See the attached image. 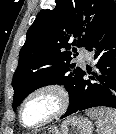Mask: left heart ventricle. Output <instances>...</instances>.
<instances>
[{"instance_id":"obj_1","label":"left heart ventricle","mask_w":116,"mask_h":134,"mask_svg":"<svg viewBox=\"0 0 116 134\" xmlns=\"http://www.w3.org/2000/svg\"><path fill=\"white\" fill-rule=\"evenodd\" d=\"M57 108V100L50 93L34 96L25 106L23 111L24 122L35 125L51 115Z\"/></svg>"}]
</instances>
